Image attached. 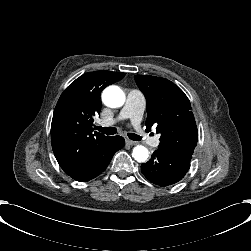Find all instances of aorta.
Here are the masks:
<instances>
[{"label": "aorta", "mask_w": 251, "mask_h": 251, "mask_svg": "<svg viewBox=\"0 0 251 251\" xmlns=\"http://www.w3.org/2000/svg\"><path fill=\"white\" fill-rule=\"evenodd\" d=\"M124 92L116 85L106 87L102 92V101L105 105L116 108L123 106L125 102ZM132 157L139 163L145 162L149 157V151L142 145L133 148Z\"/></svg>", "instance_id": "762f6f07"}]
</instances>
